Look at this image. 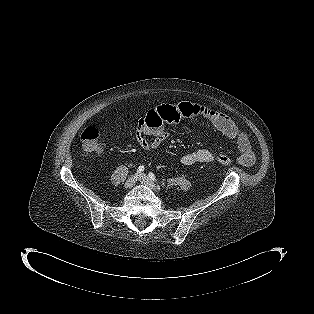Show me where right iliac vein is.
I'll return each mask as SVG.
<instances>
[{
  "mask_svg": "<svg viewBox=\"0 0 314 314\" xmlns=\"http://www.w3.org/2000/svg\"><path fill=\"white\" fill-rule=\"evenodd\" d=\"M137 181V175H132L130 178L127 179V181L124 184V187L129 189L132 188L134 186V184Z\"/></svg>",
  "mask_w": 314,
  "mask_h": 314,
  "instance_id": "63e3f726",
  "label": "right iliac vein"
}]
</instances>
